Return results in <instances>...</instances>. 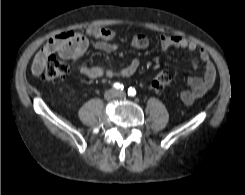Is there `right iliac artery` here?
<instances>
[{"mask_svg":"<svg viewBox=\"0 0 245 195\" xmlns=\"http://www.w3.org/2000/svg\"><path fill=\"white\" fill-rule=\"evenodd\" d=\"M113 87L117 90H123L124 86L121 83H114Z\"/></svg>","mask_w":245,"mask_h":195,"instance_id":"1","label":"right iliac artery"}]
</instances>
